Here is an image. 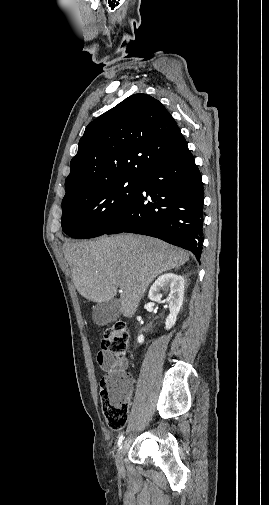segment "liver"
Listing matches in <instances>:
<instances>
[{"label": "liver", "mask_w": 269, "mask_h": 505, "mask_svg": "<svg viewBox=\"0 0 269 505\" xmlns=\"http://www.w3.org/2000/svg\"><path fill=\"white\" fill-rule=\"evenodd\" d=\"M63 251L79 294L92 302H108L119 287L123 292L117 300L128 318L135 314L154 278L189 260V254L180 248L134 234L65 243Z\"/></svg>", "instance_id": "obj_1"}]
</instances>
